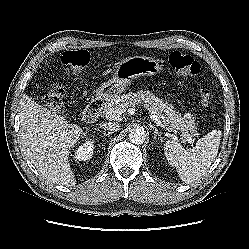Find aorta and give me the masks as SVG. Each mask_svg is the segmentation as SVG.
Here are the masks:
<instances>
[{"label":"aorta","mask_w":249,"mask_h":249,"mask_svg":"<svg viewBox=\"0 0 249 249\" xmlns=\"http://www.w3.org/2000/svg\"><path fill=\"white\" fill-rule=\"evenodd\" d=\"M129 140L133 144H142L146 138V132L141 127L133 128L128 134Z\"/></svg>","instance_id":"aorta-1"}]
</instances>
